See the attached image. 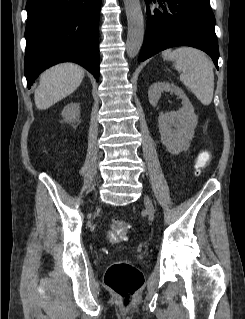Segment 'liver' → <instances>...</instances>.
Returning a JSON list of instances; mask_svg holds the SVG:
<instances>
[{
  "mask_svg": "<svg viewBox=\"0 0 245 319\" xmlns=\"http://www.w3.org/2000/svg\"><path fill=\"white\" fill-rule=\"evenodd\" d=\"M84 69L74 63L56 65L40 76L39 86L34 93L35 105L39 110L48 109L72 94L81 84Z\"/></svg>",
  "mask_w": 245,
  "mask_h": 319,
  "instance_id": "6515ba94",
  "label": "liver"
}]
</instances>
